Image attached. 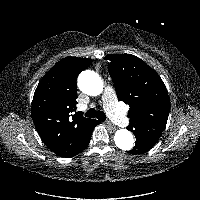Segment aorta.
<instances>
[{
    "label": "aorta",
    "instance_id": "aorta-1",
    "mask_svg": "<svg viewBox=\"0 0 200 200\" xmlns=\"http://www.w3.org/2000/svg\"><path fill=\"white\" fill-rule=\"evenodd\" d=\"M78 86L83 93L97 96L102 93L104 84L96 72L85 70L79 75ZM114 141L116 146L124 151L132 149L134 145L133 135L127 129L117 130L114 135Z\"/></svg>",
    "mask_w": 200,
    "mask_h": 200
}]
</instances>
